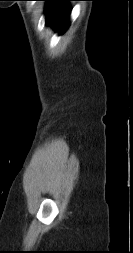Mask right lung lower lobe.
I'll return each mask as SVG.
<instances>
[{
    "label": "right lung lower lobe",
    "mask_w": 133,
    "mask_h": 253,
    "mask_svg": "<svg viewBox=\"0 0 133 253\" xmlns=\"http://www.w3.org/2000/svg\"><path fill=\"white\" fill-rule=\"evenodd\" d=\"M46 1V23L52 25L55 30L64 31L68 27L67 21L70 15L69 1L76 0H39Z\"/></svg>",
    "instance_id": "right-lung-lower-lobe-1"
}]
</instances>
